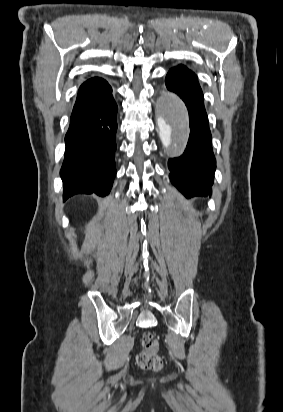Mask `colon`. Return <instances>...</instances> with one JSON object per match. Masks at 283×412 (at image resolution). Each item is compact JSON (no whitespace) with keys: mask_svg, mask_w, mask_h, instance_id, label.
<instances>
[{"mask_svg":"<svg viewBox=\"0 0 283 412\" xmlns=\"http://www.w3.org/2000/svg\"><path fill=\"white\" fill-rule=\"evenodd\" d=\"M142 351L137 356L138 365L148 371H157L162 367L159 355V343L154 333L144 332L141 339Z\"/></svg>","mask_w":283,"mask_h":412,"instance_id":"1","label":"colon"}]
</instances>
